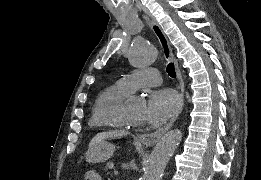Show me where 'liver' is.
Masks as SVG:
<instances>
[{
  "label": "liver",
  "instance_id": "liver-1",
  "mask_svg": "<svg viewBox=\"0 0 261 180\" xmlns=\"http://www.w3.org/2000/svg\"><path fill=\"white\" fill-rule=\"evenodd\" d=\"M123 136H128L126 130H109V132H100V134H96V136L92 138L89 148H93L95 144H100V142H104V140H119V138H123Z\"/></svg>",
  "mask_w": 261,
  "mask_h": 180
}]
</instances>
